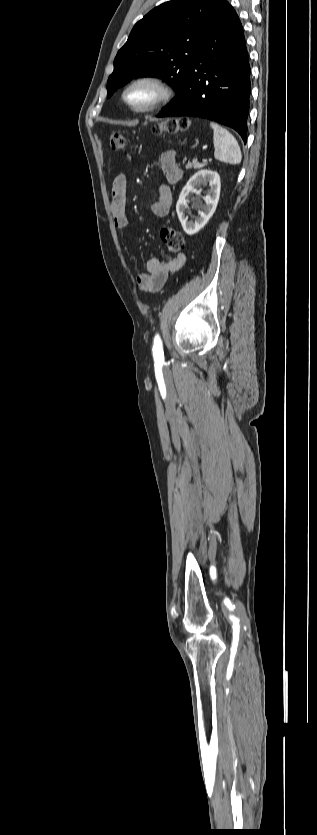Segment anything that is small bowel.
Returning <instances> with one entry per match:
<instances>
[{
	"label": "small bowel",
	"mask_w": 317,
	"mask_h": 835,
	"mask_svg": "<svg viewBox=\"0 0 317 835\" xmlns=\"http://www.w3.org/2000/svg\"><path fill=\"white\" fill-rule=\"evenodd\" d=\"M161 168L165 181L159 186V198L152 203L151 210L157 217H165L169 214L173 195L171 185L178 183L183 177V169L176 162L175 152L167 151L161 157ZM127 180L122 173L117 174L112 182L110 209L113 224L117 230L123 231L128 227V219L125 211ZM186 261L185 253H179L172 259L161 260L150 258L147 263V272L136 276V282L142 291L156 292L160 290L169 273L179 270Z\"/></svg>",
	"instance_id": "obj_1"
}]
</instances>
